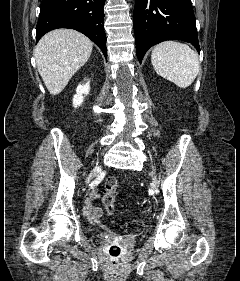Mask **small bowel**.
I'll list each match as a JSON object with an SVG mask.
<instances>
[{
	"label": "small bowel",
	"instance_id": "obj_1",
	"mask_svg": "<svg viewBox=\"0 0 240 281\" xmlns=\"http://www.w3.org/2000/svg\"><path fill=\"white\" fill-rule=\"evenodd\" d=\"M99 195L97 192H91L89 198L84 202L83 213L84 216L92 223L98 224L100 218L103 215V209L92 204V200L97 198Z\"/></svg>",
	"mask_w": 240,
	"mask_h": 281
}]
</instances>
